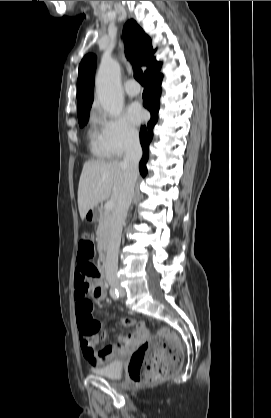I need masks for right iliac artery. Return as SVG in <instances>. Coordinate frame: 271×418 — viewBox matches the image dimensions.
Here are the masks:
<instances>
[{"mask_svg":"<svg viewBox=\"0 0 271 418\" xmlns=\"http://www.w3.org/2000/svg\"><path fill=\"white\" fill-rule=\"evenodd\" d=\"M110 295L114 300H117L119 298V292L116 288L112 287L110 289Z\"/></svg>","mask_w":271,"mask_h":418,"instance_id":"1","label":"right iliac artery"}]
</instances>
